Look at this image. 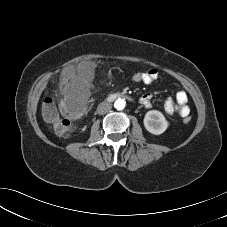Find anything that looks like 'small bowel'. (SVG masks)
<instances>
[{
	"instance_id": "c3829d8e",
	"label": "small bowel",
	"mask_w": 227,
	"mask_h": 227,
	"mask_svg": "<svg viewBox=\"0 0 227 227\" xmlns=\"http://www.w3.org/2000/svg\"><path fill=\"white\" fill-rule=\"evenodd\" d=\"M144 72H145V79L143 81L144 84L150 85L159 77V71L157 69H150ZM151 99L152 95L150 93H146L142 95V97L140 98V102L145 108H150ZM164 111L167 115H173L175 113L181 115L184 112L190 113V108L188 106V96L186 92L179 91L176 94L175 99L168 97L164 102Z\"/></svg>"
}]
</instances>
